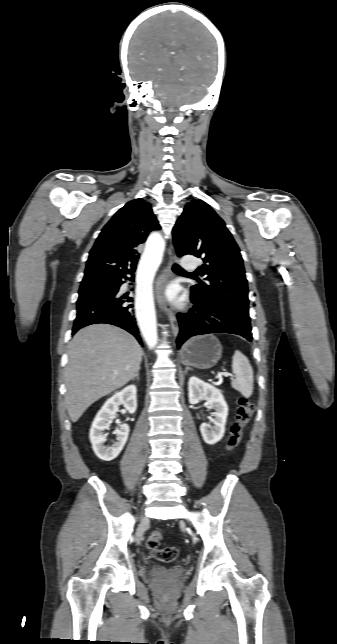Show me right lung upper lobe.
Segmentation results:
<instances>
[{"instance_id": "cb5924a9", "label": "right lung upper lobe", "mask_w": 337, "mask_h": 644, "mask_svg": "<svg viewBox=\"0 0 337 644\" xmlns=\"http://www.w3.org/2000/svg\"><path fill=\"white\" fill-rule=\"evenodd\" d=\"M160 229L151 205L135 199L118 210L104 226L89 253L82 282L116 279L139 259L136 247L149 232Z\"/></svg>"}]
</instances>
